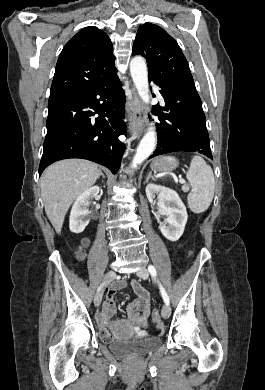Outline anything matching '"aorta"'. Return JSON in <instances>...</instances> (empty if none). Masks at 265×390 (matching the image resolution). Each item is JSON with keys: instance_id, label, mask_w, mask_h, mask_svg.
Wrapping results in <instances>:
<instances>
[{"instance_id": "aorta-1", "label": "aorta", "mask_w": 265, "mask_h": 390, "mask_svg": "<svg viewBox=\"0 0 265 390\" xmlns=\"http://www.w3.org/2000/svg\"><path fill=\"white\" fill-rule=\"evenodd\" d=\"M130 72L140 98L143 102L148 103L150 96L148 71L145 59L141 56L133 57L130 62ZM155 146L156 133L154 127L151 125L137 147L136 154L132 161V167L136 168L138 164H141L147 159L154 151Z\"/></svg>"}]
</instances>
